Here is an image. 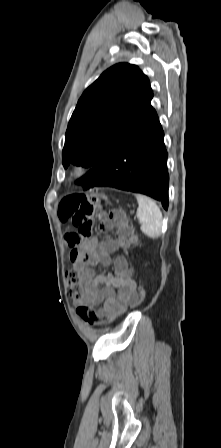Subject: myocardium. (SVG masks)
I'll use <instances>...</instances> for the list:
<instances>
[{
  "label": "myocardium",
  "instance_id": "obj_1",
  "mask_svg": "<svg viewBox=\"0 0 221 448\" xmlns=\"http://www.w3.org/2000/svg\"><path fill=\"white\" fill-rule=\"evenodd\" d=\"M93 172L91 166L86 164L76 165L72 171V175L77 180L87 179Z\"/></svg>",
  "mask_w": 221,
  "mask_h": 448
}]
</instances>
